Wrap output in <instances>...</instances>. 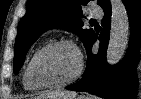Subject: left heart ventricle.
Returning <instances> with one entry per match:
<instances>
[{"mask_svg":"<svg viewBox=\"0 0 141 99\" xmlns=\"http://www.w3.org/2000/svg\"><path fill=\"white\" fill-rule=\"evenodd\" d=\"M78 56L70 47H57L43 54L35 64L34 75L42 82H60L78 69Z\"/></svg>","mask_w":141,"mask_h":99,"instance_id":"1","label":"left heart ventricle"}]
</instances>
